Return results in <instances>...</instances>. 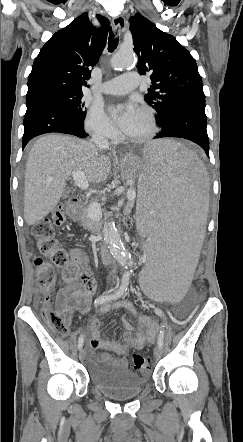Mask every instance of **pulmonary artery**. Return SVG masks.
<instances>
[{
	"label": "pulmonary artery",
	"mask_w": 243,
	"mask_h": 442,
	"mask_svg": "<svg viewBox=\"0 0 243 442\" xmlns=\"http://www.w3.org/2000/svg\"><path fill=\"white\" fill-rule=\"evenodd\" d=\"M140 84L137 72H127L117 76L101 85V92L112 95L126 94L135 89Z\"/></svg>",
	"instance_id": "pulmonary-artery-1"
}]
</instances>
